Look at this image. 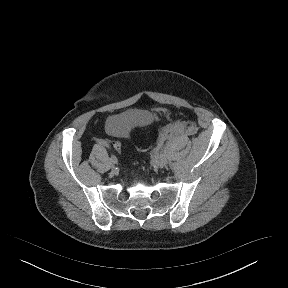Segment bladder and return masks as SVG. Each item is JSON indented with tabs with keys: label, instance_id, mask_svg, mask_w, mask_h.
<instances>
[{
	"label": "bladder",
	"instance_id": "1",
	"mask_svg": "<svg viewBox=\"0 0 288 288\" xmlns=\"http://www.w3.org/2000/svg\"><path fill=\"white\" fill-rule=\"evenodd\" d=\"M154 121V114L148 110H130L108 120L106 128L115 134H125L136 127H147Z\"/></svg>",
	"mask_w": 288,
	"mask_h": 288
}]
</instances>
